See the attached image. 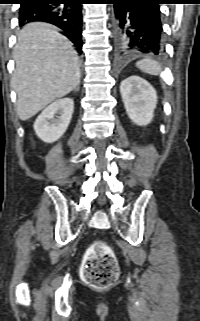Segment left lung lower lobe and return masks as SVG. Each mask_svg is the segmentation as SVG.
Listing matches in <instances>:
<instances>
[{"mask_svg":"<svg viewBox=\"0 0 200 321\" xmlns=\"http://www.w3.org/2000/svg\"><path fill=\"white\" fill-rule=\"evenodd\" d=\"M164 0H113L120 56L128 52H162L159 4Z\"/></svg>","mask_w":200,"mask_h":321,"instance_id":"obj_1","label":"left lung lower lobe"}]
</instances>
